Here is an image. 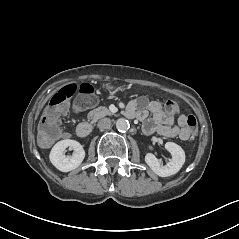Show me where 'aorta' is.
I'll list each match as a JSON object with an SVG mask.
<instances>
[{
    "label": "aorta",
    "mask_w": 239,
    "mask_h": 239,
    "mask_svg": "<svg viewBox=\"0 0 239 239\" xmlns=\"http://www.w3.org/2000/svg\"><path fill=\"white\" fill-rule=\"evenodd\" d=\"M128 127H129V122L125 118H119L116 121V128L118 131H121V132L126 131Z\"/></svg>",
    "instance_id": "1"
}]
</instances>
